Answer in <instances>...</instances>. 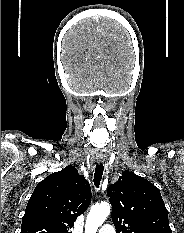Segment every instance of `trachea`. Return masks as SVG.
Listing matches in <instances>:
<instances>
[{"mask_svg": "<svg viewBox=\"0 0 184 233\" xmlns=\"http://www.w3.org/2000/svg\"><path fill=\"white\" fill-rule=\"evenodd\" d=\"M103 170H104V167L102 164L96 165L95 173H94V184H95L96 188H98L100 185V181H101L102 175H103Z\"/></svg>", "mask_w": 184, "mask_h": 233, "instance_id": "obj_1", "label": "trachea"}]
</instances>
